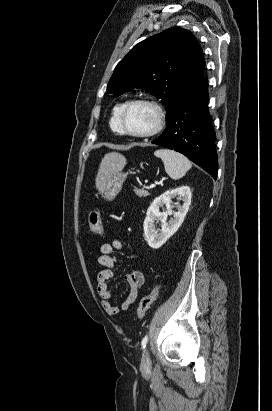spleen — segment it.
Returning a JSON list of instances; mask_svg holds the SVG:
<instances>
[{
	"label": "spleen",
	"mask_w": 272,
	"mask_h": 411,
	"mask_svg": "<svg viewBox=\"0 0 272 411\" xmlns=\"http://www.w3.org/2000/svg\"><path fill=\"white\" fill-rule=\"evenodd\" d=\"M154 155L164 163L166 173L173 179L178 180L185 176L192 167L191 162L183 154L169 149H158Z\"/></svg>",
	"instance_id": "1"
}]
</instances>
